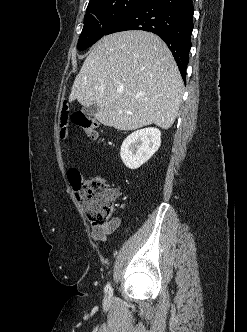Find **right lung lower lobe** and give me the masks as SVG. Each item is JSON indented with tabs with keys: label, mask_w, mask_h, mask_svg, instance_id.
Wrapping results in <instances>:
<instances>
[{
	"label": "right lung lower lobe",
	"mask_w": 247,
	"mask_h": 332,
	"mask_svg": "<svg viewBox=\"0 0 247 332\" xmlns=\"http://www.w3.org/2000/svg\"><path fill=\"white\" fill-rule=\"evenodd\" d=\"M193 13L192 0H147L117 20L106 35L126 30H144L159 35L171 50L186 81Z\"/></svg>",
	"instance_id": "obj_1"
}]
</instances>
